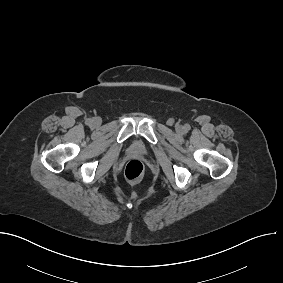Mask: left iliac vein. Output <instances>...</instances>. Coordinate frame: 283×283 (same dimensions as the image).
I'll list each match as a JSON object with an SVG mask.
<instances>
[{
  "instance_id": "4c4485c4",
  "label": "left iliac vein",
  "mask_w": 283,
  "mask_h": 283,
  "mask_svg": "<svg viewBox=\"0 0 283 283\" xmlns=\"http://www.w3.org/2000/svg\"><path fill=\"white\" fill-rule=\"evenodd\" d=\"M177 129H178V131H180V130H181V127H178Z\"/></svg>"
}]
</instances>
